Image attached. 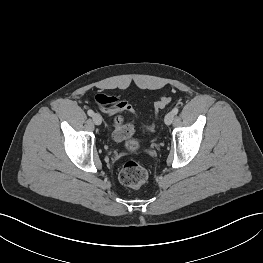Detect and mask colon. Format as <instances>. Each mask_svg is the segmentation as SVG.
I'll return each instance as SVG.
<instances>
[{"instance_id": "5ec220e1", "label": "colon", "mask_w": 263, "mask_h": 263, "mask_svg": "<svg viewBox=\"0 0 263 263\" xmlns=\"http://www.w3.org/2000/svg\"><path fill=\"white\" fill-rule=\"evenodd\" d=\"M95 99L97 104L102 107L111 108L116 112H125L130 115H135L132 106L128 102L123 101L115 96L99 94ZM170 102L171 98L168 96L159 98L154 104L155 112L158 114ZM114 123V139L118 142H124L128 151L135 152L139 147V140L134 137V130L132 126L130 124L124 123L120 115L115 117ZM144 129L151 130L152 126H145ZM119 178L123 185L132 188H138L147 181L148 173L140 164L134 161H128L123 165Z\"/></svg>"}]
</instances>
